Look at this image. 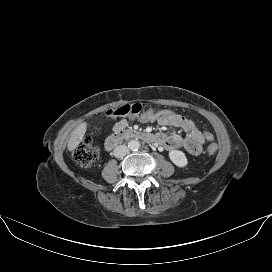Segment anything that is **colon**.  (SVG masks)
<instances>
[{"mask_svg":"<svg viewBox=\"0 0 272 272\" xmlns=\"http://www.w3.org/2000/svg\"><path fill=\"white\" fill-rule=\"evenodd\" d=\"M176 113L167 109H147L144 110L140 104H125L117 108L111 109L107 115L112 118L129 117L136 118L144 122L157 121L163 116H171ZM218 150L216 144H210L207 152L213 155ZM99 155V148L90 137H86L73 153L74 160L80 167H89L92 165Z\"/></svg>","mask_w":272,"mask_h":272,"instance_id":"5ec220e1","label":"colon"}]
</instances>
